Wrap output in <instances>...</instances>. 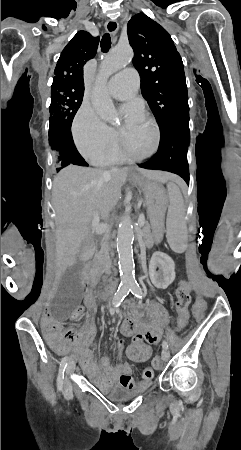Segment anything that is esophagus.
Instances as JSON below:
<instances>
[{"mask_svg":"<svg viewBox=\"0 0 241 450\" xmlns=\"http://www.w3.org/2000/svg\"><path fill=\"white\" fill-rule=\"evenodd\" d=\"M104 26L106 31L110 33L112 36L116 35V33L119 30V25L115 20H107Z\"/></svg>","mask_w":241,"mask_h":450,"instance_id":"esophagus-1","label":"esophagus"}]
</instances>
